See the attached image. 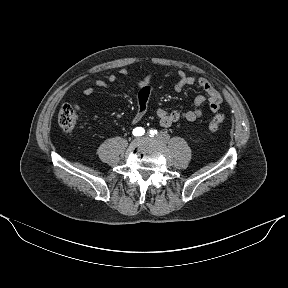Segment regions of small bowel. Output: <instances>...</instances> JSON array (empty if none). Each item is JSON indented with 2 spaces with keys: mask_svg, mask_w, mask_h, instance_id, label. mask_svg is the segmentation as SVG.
<instances>
[{
  "mask_svg": "<svg viewBox=\"0 0 288 288\" xmlns=\"http://www.w3.org/2000/svg\"><path fill=\"white\" fill-rule=\"evenodd\" d=\"M119 74L125 78H128V72L125 69H121ZM178 80L175 84V90L181 91L186 86L197 85L204 90L206 95H199L195 99V107L190 110H172L169 111L165 108H159L157 110V117L160 124L163 127H169L174 123L181 120L195 121L200 119L205 112V105L211 112H217L220 104L222 102V97L219 91L205 78H198L193 75L187 74L186 72L180 70L177 74ZM117 80L116 74H110L107 80L97 79L95 85L99 88H107L109 84L115 83ZM138 91V103L137 109L134 116L131 119V124H136L140 122L146 112L148 106V100L152 91L151 87V75L145 76L142 80L138 81L135 85ZM84 95L95 105H99V102L94 97V89L86 88L84 90Z\"/></svg>",
  "mask_w": 288,
  "mask_h": 288,
  "instance_id": "obj_1",
  "label": "small bowel"
}]
</instances>
